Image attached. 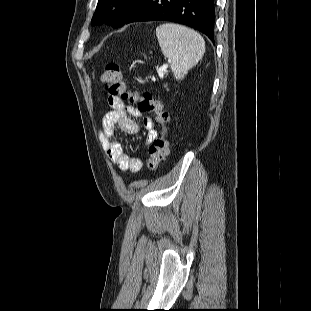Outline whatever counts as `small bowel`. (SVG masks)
<instances>
[{
  "label": "small bowel",
  "instance_id": "small-bowel-1",
  "mask_svg": "<svg viewBox=\"0 0 311 311\" xmlns=\"http://www.w3.org/2000/svg\"><path fill=\"white\" fill-rule=\"evenodd\" d=\"M107 103L111 110L103 118L101 131L106 152L120 170L138 172L143 166L142 159L124 152L121 143L116 139V129L135 134L139 131L135 118L141 117L146 130L145 142L149 144L158 136L155 121L149 116H143L136 107L119 98L108 97Z\"/></svg>",
  "mask_w": 311,
  "mask_h": 311
}]
</instances>
